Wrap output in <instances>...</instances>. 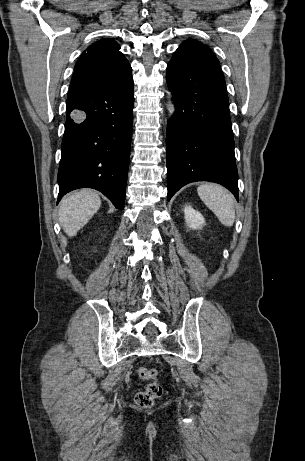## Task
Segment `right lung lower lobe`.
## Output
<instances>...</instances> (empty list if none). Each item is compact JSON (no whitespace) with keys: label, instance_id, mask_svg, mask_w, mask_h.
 <instances>
[{"label":"right lung lower lobe","instance_id":"1","mask_svg":"<svg viewBox=\"0 0 305 461\" xmlns=\"http://www.w3.org/2000/svg\"><path fill=\"white\" fill-rule=\"evenodd\" d=\"M133 105L131 73L107 84L68 92L58 202L72 190L89 187L123 210Z\"/></svg>","mask_w":305,"mask_h":461}]
</instances>
